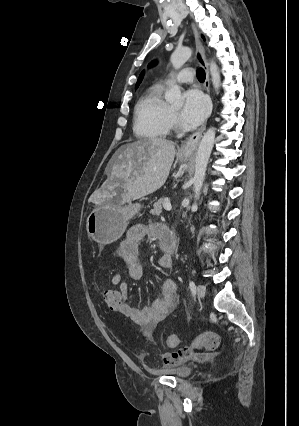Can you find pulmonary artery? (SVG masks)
Instances as JSON below:
<instances>
[{
    "label": "pulmonary artery",
    "mask_w": 299,
    "mask_h": 426,
    "mask_svg": "<svg viewBox=\"0 0 299 426\" xmlns=\"http://www.w3.org/2000/svg\"><path fill=\"white\" fill-rule=\"evenodd\" d=\"M194 79V71L191 68L182 69L178 74L175 75L174 79H165L164 83L168 84L172 81H176L178 83H190Z\"/></svg>",
    "instance_id": "1"
}]
</instances>
